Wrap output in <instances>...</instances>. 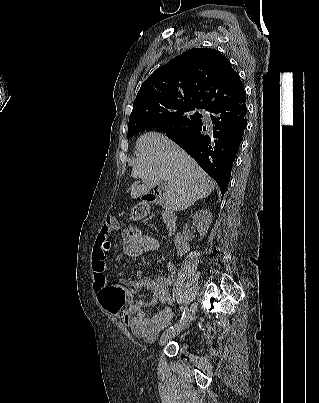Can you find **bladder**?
<instances>
[{
	"mask_svg": "<svg viewBox=\"0 0 319 403\" xmlns=\"http://www.w3.org/2000/svg\"><path fill=\"white\" fill-rule=\"evenodd\" d=\"M186 340H190V338H186Z\"/></svg>",
	"mask_w": 319,
	"mask_h": 403,
	"instance_id": "31cf9c89",
	"label": "bladder"
}]
</instances>
